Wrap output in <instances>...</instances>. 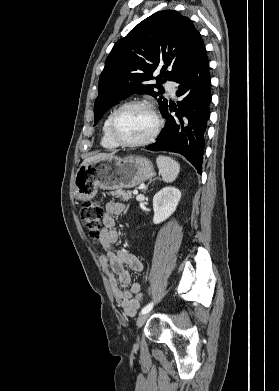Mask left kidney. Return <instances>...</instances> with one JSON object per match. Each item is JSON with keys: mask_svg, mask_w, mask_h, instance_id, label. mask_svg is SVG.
<instances>
[{"mask_svg": "<svg viewBox=\"0 0 279 391\" xmlns=\"http://www.w3.org/2000/svg\"><path fill=\"white\" fill-rule=\"evenodd\" d=\"M181 192L175 187H164L153 197V223L159 224L173 214L180 201Z\"/></svg>", "mask_w": 279, "mask_h": 391, "instance_id": "obj_1", "label": "left kidney"}]
</instances>
